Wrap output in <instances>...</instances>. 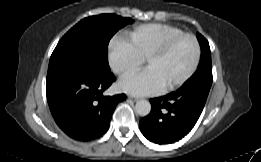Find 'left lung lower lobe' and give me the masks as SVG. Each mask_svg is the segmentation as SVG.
Returning <instances> with one entry per match:
<instances>
[{"instance_id":"left-lung-lower-lobe-1","label":"left lung lower lobe","mask_w":261,"mask_h":162,"mask_svg":"<svg viewBox=\"0 0 261 162\" xmlns=\"http://www.w3.org/2000/svg\"><path fill=\"white\" fill-rule=\"evenodd\" d=\"M211 85L192 83L151 99V112L139 122L142 134L156 144L174 143L187 135L199 119Z\"/></svg>"}]
</instances>
